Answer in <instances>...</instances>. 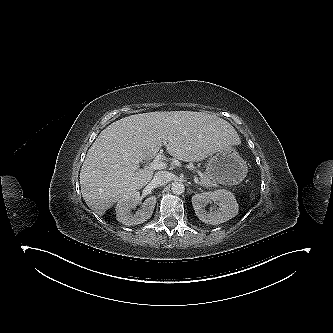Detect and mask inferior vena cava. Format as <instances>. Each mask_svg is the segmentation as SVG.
Masks as SVG:
<instances>
[{"instance_id":"inferior-vena-cava-1","label":"inferior vena cava","mask_w":333,"mask_h":333,"mask_svg":"<svg viewBox=\"0 0 333 333\" xmlns=\"http://www.w3.org/2000/svg\"><path fill=\"white\" fill-rule=\"evenodd\" d=\"M172 180V174L167 171H158L153 177V184L155 186H162L167 184Z\"/></svg>"}]
</instances>
